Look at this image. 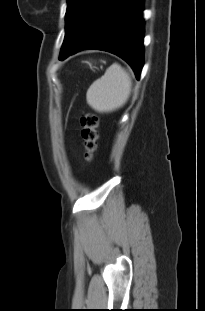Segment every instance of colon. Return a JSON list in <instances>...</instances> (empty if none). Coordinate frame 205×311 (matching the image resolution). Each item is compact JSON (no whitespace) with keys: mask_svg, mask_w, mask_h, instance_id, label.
<instances>
[{"mask_svg":"<svg viewBox=\"0 0 205 311\" xmlns=\"http://www.w3.org/2000/svg\"><path fill=\"white\" fill-rule=\"evenodd\" d=\"M81 137L84 147V160L91 163L96 156L99 139V117L91 112L85 113L80 118Z\"/></svg>","mask_w":205,"mask_h":311,"instance_id":"colon-1","label":"colon"}]
</instances>
